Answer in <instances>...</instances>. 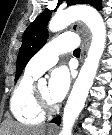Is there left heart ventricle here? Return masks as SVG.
I'll list each match as a JSON object with an SVG mask.
<instances>
[{
	"mask_svg": "<svg viewBox=\"0 0 112 135\" xmlns=\"http://www.w3.org/2000/svg\"><path fill=\"white\" fill-rule=\"evenodd\" d=\"M38 92L42 98H44L47 102L53 104L54 102L49 97V86L48 84H43L37 87Z\"/></svg>",
	"mask_w": 112,
	"mask_h": 135,
	"instance_id": "left-heart-ventricle-1",
	"label": "left heart ventricle"
}]
</instances>
